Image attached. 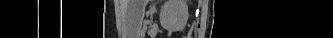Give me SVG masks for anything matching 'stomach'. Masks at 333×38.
I'll list each match as a JSON object with an SVG mask.
<instances>
[{"instance_id": "obj_1", "label": "stomach", "mask_w": 333, "mask_h": 38, "mask_svg": "<svg viewBox=\"0 0 333 38\" xmlns=\"http://www.w3.org/2000/svg\"><path fill=\"white\" fill-rule=\"evenodd\" d=\"M145 0H138L136 1V8H137V26L140 29L143 23L145 8H144Z\"/></svg>"}]
</instances>
